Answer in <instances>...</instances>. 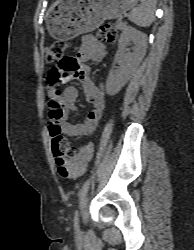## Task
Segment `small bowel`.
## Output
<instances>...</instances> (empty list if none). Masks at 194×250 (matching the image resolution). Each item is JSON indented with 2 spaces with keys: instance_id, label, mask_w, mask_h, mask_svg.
<instances>
[{
  "instance_id": "small-bowel-1",
  "label": "small bowel",
  "mask_w": 194,
  "mask_h": 250,
  "mask_svg": "<svg viewBox=\"0 0 194 250\" xmlns=\"http://www.w3.org/2000/svg\"><path fill=\"white\" fill-rule=\"evenodd\" d=\"M106 48L95 36L86 35L74 58H64V61L52 70L63 75L65 80L77 79L84 90L87 101L91 104L84 121L71 124L66 119L76 111L75 102L78 90L75 86H67L60 96L54 95L55 90L50 88L51 108L49 112L50 135L61 133L68 137L89 136L97 128L100 117L105 107L106 86L104 83L96 85L90 77L89 61L101 62L105 57ZM61 102L62 106L57 103ZM94 146L91 142L84 143L74 159L67 162L70 175L64 178L76 179L82 176L91 161Z\"/></svg>"
}]
</instances>
